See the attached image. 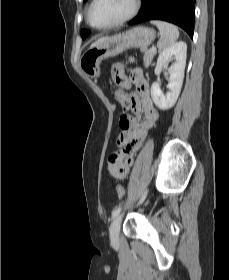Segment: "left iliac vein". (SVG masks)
Here are the masks:
<instances>
[{
  "instance_id": "obj_1",
  "label": "left iliac vein",
  "mask_w": 229,
  "mask_h": 280,
  "mask_svg": "<svg viewBox=\"0 0 229 280\" xmlns=\"http://www.w3.org/2000/svg\"><path fill=\"white\" fill-rule=\"evenodd\" d=\"M144 197L141 199V202L144 200ZM121 223V215H117L111 223L110 226V240L112 244H116L119 240V230Z\"/></svg>"
}]
</instances>
